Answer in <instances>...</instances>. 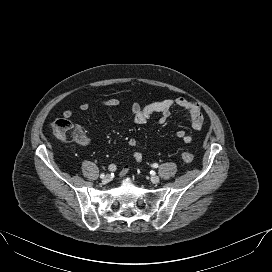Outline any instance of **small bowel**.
<instances>
[{
	"mask_svg": "<svg viewBox=\"0 0 272 272\" xmlns=\"http://www.w3.org/2000/svg\"><path fill=\"white\" fill-rule=\"evenodd\" d=\"M92 105H95L98 107L116 108L120 105V101L116 98H108V99L97 101L95 103L84 101L79 104V109L81 111H86ZM173 109L186 111L189 115L192 128L196 131L202 130L204 126V116L202 114L200 105L195 101H192L183 97L154 101L146 105H139L137 103H132L129 106V110L131 112L133 121L137 125L145 124L147 120L153 114H156V113L160 114L158 122L160 124H164L170 117L171 110ZM73 114L74 112L71 109H66L62 113L63 117L65 118H71ZM177 137L186 144L191 143L193 140L192 135L187 133L184 130H179L177 132ZM128 145L130 148L134 149L137 146V142L135 139H130L128 142ZM131 156L135 162L137 163L142 162L143 156L139 151L137 150L132 151ZM115 169H116V165L111 164L110 170L114 171ZM129 172H130V167L125 166L121 170L120 176L124 177Z\"/></svg>",
	"mask_w": 272,
	"mask_h": 272,
	"instance_id": "c3829d8e",
	"label": "small bowel"
}]
</instances>
